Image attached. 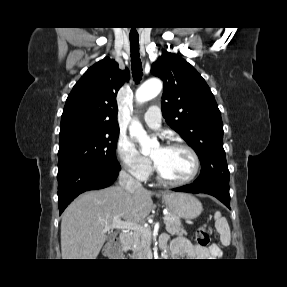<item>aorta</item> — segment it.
<instances>
[{
    "instance_id": "762f6f07",
    "label": "aorta",
    "mask_w": 287,
    "mask_h": 287,
    "mask_svg": "<svg viewBox=\"0 0 287 287\" xmlns=\"http://www.w3.org/2000/svg\"><path fill=\"white\" fill-rule=\"evenodd\" d=\"M162 90V83L158 79H151L143 83L136 91L137 103H145L156 97ZM130 135L138 141L143 154H148L158 145L156 140L150 139L139 121L134 120L129 127Z\"/></svg>"
}]
</instances>
